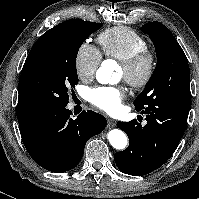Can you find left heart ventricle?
Returning a JSON list of instances; mask_svg holds the SVG:
<instances>
[{
	"label": "left heart ventricle",
	"mask_w": 199,
	"mask_h": 199,
	"mask_svg": "<svg viewBox=\"0 0 199 199\" xmlns=\"http://www.w3.org/2000/svg\"><path fill=\"white\" fill-rule=\"evenodd\" d=\"M125 75H126V73H125L124 69L120 66L119 67V76L121 78H125Z\"/></svg>",
	"instance_id": "left-heart-ventricle-1"
}]
</instances>
